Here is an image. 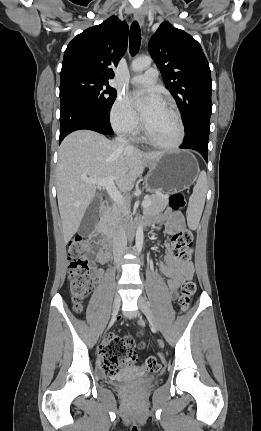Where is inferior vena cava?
Wrapping results in <instances>:
<instances>
[{"mask_svg": "<svg viewBox=\"0 0 261 431\" xmlns=\"http://www.w3.org/2000/svg\"><path fill=\"white\" fill-rule=\"evenodd\" d=\"M117 142L121 145L127 147L128 149H133L132 145L128 144L126 137L120 135L116 138ZM127 250V239L125 230L122 225L118 226L113 237V253L116 259L120 258Z\"/></svg>", "mask_w": 261, "mask_h": 431, "instance_id": "inferior-vena-cava-1", "label": "inferior vena cava"}]
</instances>
